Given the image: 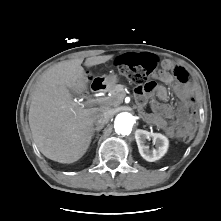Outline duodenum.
<instances>
[{
	"label": "duodenum",
	"instance_id": "duodenum-1",
	"mask_svg": "<svg viewBox=\"0 0 221 221\" xmlns=\"http://www.w3.org/2000/svg\"><path fill=\"white\" fill-rule=\"evenodd\" d=\"M91 88L94 92L97 93H104L108 90L109 86L108 83L102 80H95L92 85Z\"/></svg>",
	"mask_w": 221,
	"mask_h": 221
}]
</instances>
